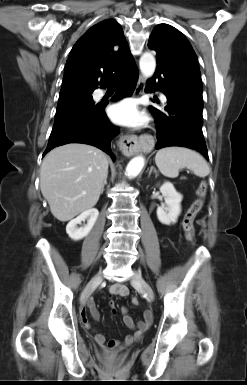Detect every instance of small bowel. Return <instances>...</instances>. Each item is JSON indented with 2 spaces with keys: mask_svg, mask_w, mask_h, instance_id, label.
Returning a JSON list of instances; mask_svg holds the SVG:
<instances>
[{
  "mask_svg": "<svg viewBox=\"0 0 247 385\" xmlns=\"http://www.w3.org/2000/svg\"><path fill=\"white\" fill-rule=\"evenodd\" d=\"M129 294V289L125 284L116 283L108 286V295L109 297L113 296H127ZM109 305L111 307L112 313H116V308L112 300L109 301ZM87 312L93 316V318L98 319L99 313L95 306L94 297H90L84 307L80 310V320L83 327L91 331V325L88 321ZM121 312L123 314V321L125 325L133 331L132 334L128 335L124 342L119 341H111L109 344L111 347H115L118 350H123L126 347L130 346L136 339L140 338L141 334L151 325L153 322V314L151 311L146 310L143 313V319L140 321H135L134 318L128 313L126 307L121 308ZM94 340L100 347H104L106 343L105 336L101 333H94Z\"/></svg>",
  "mask_w": 247,
  "mask_h": 385,
  "instance_id": "c3829d8e",
  "label": "small bowel"
}]
</instances>
